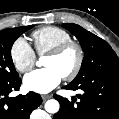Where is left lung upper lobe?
<instances>
[{"label": "left lung upper lobe", "mask_w": 119, "mask_h": 119, "mask_svg": "<svg viewBox=\"0 0 119 119\" xmlns=\"http://www.w3.org/2000/svg\"><path fill=\"white\" fill-rule=\"evenodd\" d=\"M63 27L77 37L84 51L81 69L72 82L86 81L103 72L119 71V59L106 41L77 24L65 23Z\"/></svg>", "instance_id": "5c2ea615"}]
</instances>
